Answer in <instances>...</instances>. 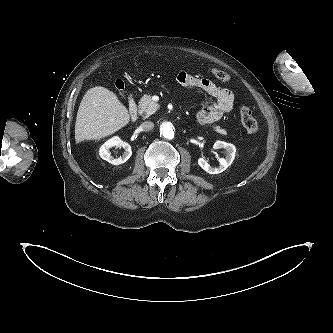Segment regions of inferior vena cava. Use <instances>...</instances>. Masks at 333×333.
Instances as JSON below:
<instances>
[{"instance_id":"inferior-vena-cava-1","label":"inferior vena cava","mask_w":333,"mask_h":333,"mask_svg":"<svg viewBox=\"0 0 333 333\" xmlns=\"http://www.w3.org/2000/svg\"><path fill=\"white\" fill-rule=\"evenodd\" d=\"M141 127L144 131H150L154 127V123L151 121H145L141 124Z\"/></svg>"}]
</instances>
